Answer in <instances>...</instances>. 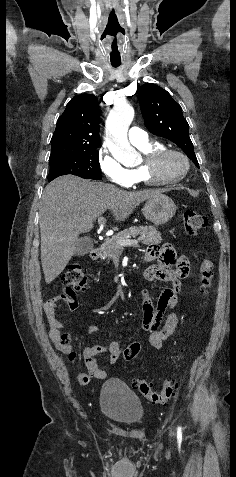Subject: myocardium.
Masks as SVG:
<instances>
[{"label": "myocardium", "mask_w": 236, "mask_h": 477, "mask_svg": "<svg viewBox=\"0 0 236 477\" xmlns=\"http://www.w3.org/2000/svg\"><path fill=\"white\" fill-rule=\"evenodd\" d=\"M176 156L184 163L183 171L171 177H165L161 174V168L166 158ZM141 168L146 178L154 184H174L182 180L190 169V161L187 155L180 150L173 148H159L144 156Z\"/></svg>", "instance_id": "obj_1"}]
</instances>
